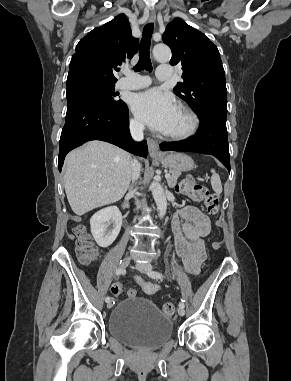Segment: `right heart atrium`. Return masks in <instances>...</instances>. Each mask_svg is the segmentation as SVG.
<instances>
[{"label":"right heart atrium","instance_id":"right-heart-atrium-1","mask_svg":"<svg viewBox=\"0 0 291 381\" xmlns=\"http://www.w3.org/2000/svg\"><path fill=\"white\" fill-rule=\"evenodd\" d=\"M130 126L134 130H141L142 127H143L142 123L138 119H136V118H132L130 120Z\"/></svg>","mask_w":291,"mask_h":381}]
</instances>
